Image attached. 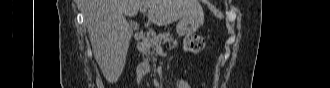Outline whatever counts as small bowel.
I'll use <instances>...</instances> for the list:
<instances>
[{
	"label": "small bowel",
	"instance_id": "c3829d8e",
	"mask_svg": "<svg viewBox=\"0 0 330 88\" xmlns=\"http://www.w3.org/2000/svg\"><path fill=\"white\" fill-rule=\"evenodd\" d=\"M177 87L178 88H190V85L185 79L181 78L178 80Z\"/></svg>",
	"mask_w": 330,
	"mask_h": 88
}]
</instances>
